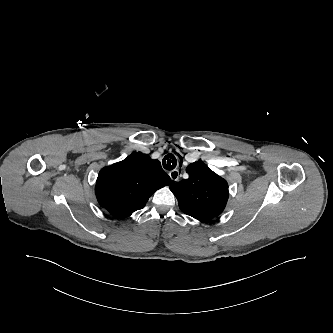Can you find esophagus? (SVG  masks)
Instances as JSON below:
<instances>
[{"label":"esophagus","mask_w":333,"mask_h":333,"mask_svg":"<svg viewBox=\"0 0 333 333\" xmlns=\"http://www.w3.org/2000/svg\"><path fill=\"white\" fill-rule=\"evenodd\" d=\"M169 176H170L172 182H177V181H179L180 178H181L180 170H179V169L172 170V171L169 173Z\"/></svg>","instance_id":"obj_1"}]
</instances>
